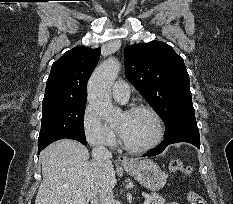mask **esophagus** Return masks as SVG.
<instances>
[{"label":"esophagus","instance_id":"esophagus-1","mask_svg":"<svg viewBox=\"0 0 233 204\" xmlns=\"http://www.w3.org/2000/svg\"><path fill=\"white\" fill-rule=\"evenodd\" d=\"M118 161L123 166H127V165H130L132 163L131 159L127 156H119Z\"/></svg>","mask_w":233,"mask_h":204}]
</instances>
